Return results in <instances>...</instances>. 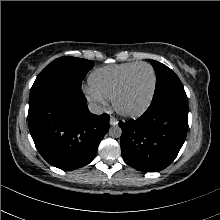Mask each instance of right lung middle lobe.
Returning a JSON list of instances; mask_svg holds the SVG:
<instances>
[{"label": "right lung middle lobe", "instance_id": "obj_1", "mask_svg": "<svg viewBox=\"0 0 220 220\" xmlns=\"http://www.w3.org/2000/svg\"><path fill=\"white\" fill-rule=\"evenodd\" d=\"M93 66L94 63L92 61L63 56L47 65L37 76L33 85L51 79H67L81 83Z\"/></svg>", "mask_w": 220, "mask_h": 220}]
</instances>
